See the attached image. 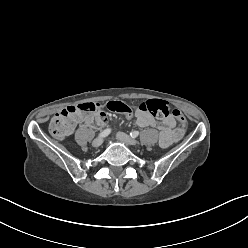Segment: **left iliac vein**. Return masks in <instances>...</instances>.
<instances>
[{"label": "left iliac vein", "mask_w": 248, "mask_h": 248, "mask_svg": "<svg viewBox=\"0 0 248 248\" xmlns=\"http://www.w3.org/2000/svg\"><path fill=\"white\" fill-rule=\"evenodd\" d=\"M116 137L118 140L125 142L129 145H136L137 141L133 138H131L129 135L123 133V132H117Z\"/></svg>", "instance_id": "obj_1"}]
</instances>
